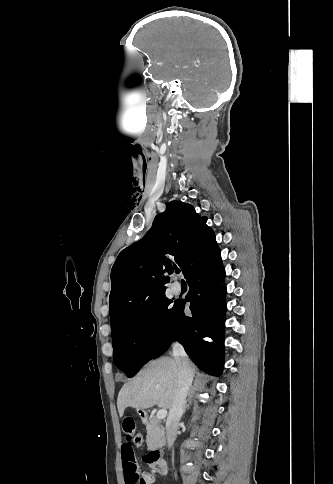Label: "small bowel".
<instances>
[{
	"label": "small bowel",
	"mask_w": 333,
	"mask_h": 484,
	"mask_svg": "<svg viewBox=\"0 0 333 484\" xmlns=\"http://www.w3.org/2000/svg\"><path fill=\"white\" fill-rule=\"evenodd\" d=\"M122 430L126 441L122 444V467L125 484H152L154 477L147 471H141L131 445V440L136 434V422L133 417L125 416L122 421Z\"/></svg>",
	"instance_id": "1"
}]
</instances>
